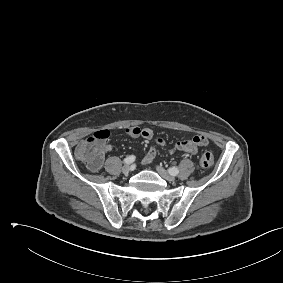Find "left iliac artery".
Segmentation results:
<instances>
[{
    "label": "left iliac artery",
    "instance_id": "1",
    "mask_svg": "<svg viewBox=\"0 0 283 283\" xmlns=\"http://www.w3.org/2000/svg\"><path fill=\"white\" fill-rule=\"evenodd\" d=\"M169 173L172 174V175H177L179 173V169L177 166H173L169 169Z\"/></svg>",
    "mask_w": 283,
    "mask_h": 283
}]
</instances>
